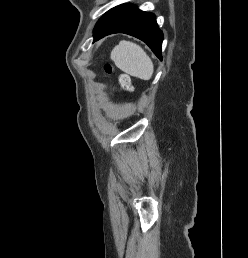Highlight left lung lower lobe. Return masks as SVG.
<instances>
[{"label": "left lung lower lobe", "instance_id": "obj_1", "mask_svg": "<svg viewBox=\"0 0 248 258\" xmlns=\"http://www.w3.org/2000/svg\"><path fill=\"white\" fill-rule=\"evenodd\" d=\"M113 33H125L142 40L162 60L163 33L154 14L143 12L134 5H123L95 26L94 40Z\"/></svg>", "mask_w": 248, "mask_h": 258}]
</instances>
